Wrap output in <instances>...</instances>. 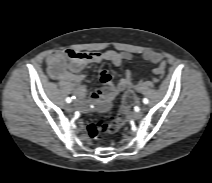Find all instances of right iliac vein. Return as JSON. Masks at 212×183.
I'll return each mask as SVG.
<instances>
[{"instance_id":"right-iliac-vein-1","label":"right iliac vein","mask_w":212,"mask_h":183,"mask_svg":"<svg viewBox=\"0 0 212 183\" xmlns=\"http://www.w3.org/2000/svg\"><path fill=\"white\" fill-rule=\"evenodd\" d=\"M65 109L68 111V112H72L73 110V106L71 104H67Z\"/></svg>"}]
</instances>
